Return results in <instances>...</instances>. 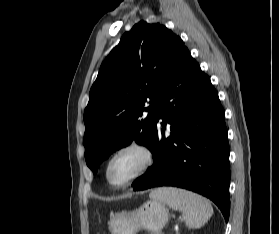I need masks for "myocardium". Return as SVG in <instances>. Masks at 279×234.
Masks as SVG:
<instances>
[{
    "label": "myocardium",
    "mask_w": 279,
    "mask_h": 234,
    "mask_svg": "<svg viewBox=\"0 0 279 234\" xmlns=\"http://www.w3.org/2000/svg\"><path fill=\"white\" fill-rule=\"evenodd\" d=\"M134 152L137 153L141 158V163L138 168L124 181L114 182L110 177V169L114 161L125 153ZM154 162V153L149 146L140 141H130L121 147H119L108 159L105 176L108 183L114 188L120 189L131 185L134 181L143 176Z\"/></svg>",
    "instance_id": "1"
}]
</instances>
